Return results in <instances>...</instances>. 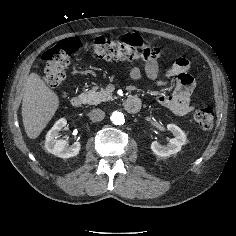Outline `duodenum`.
Masks as SVG:
<instances>
[{
    "label": "duodenum",
    "mask_w": 236,
    "mask_h": 236,
    "mask_svg": "<svg viewBox=\"0 0 236 236\" xmlns=\"http://www.w3.org/2000/svg\"><path fill=\"white\" fill-rule=\"evenodd\" d=\"M70 103L73 108L77 109L83 105V99L80 96H74ZM124 108L129 113H136L141 108V100L135 96L129 97L124 103Z\"/></svg>",
    "instance_id": "1"
}]
</instances>
